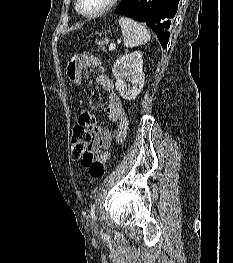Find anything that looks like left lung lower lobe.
I'll use <instances>...</instances> for the list:
<instances>
[{
	"label": "left lung lower lobe",
	"mask_w": 233,
	"mask_h": 263,
	"mask_svg": "<svg viewBox=\"0 0 233 263\" xmlns=\"http://www.w3.org/2000/svg\"><path fill=\"white\" fill-rule=\"evenodd\" d=\"M178 3L179 0H122L115 13L145 23L154 30L165 48L170 37L167 30L177 12Z\"/></svg>",
	"instance_id": "0a47b994"
}]
</instances>
